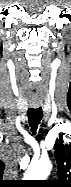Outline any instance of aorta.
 Masks as SVG:
<instances>
[{"instance_id":"aorta-1","label":"aorta","mask_w":71,"mask_h":187,"mask_svg":"<svg viewBox=\"0 0 71 187\" xmlns=\"http://www.w3.org/2000/svg\"><path fill=\"white\" fill-rule=\"evenodd\" d=\"M52 169V163L48 159H41L31 163L26 170V180H45Z\"/></svg>"}]
</instances>
